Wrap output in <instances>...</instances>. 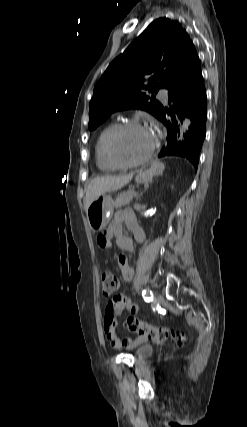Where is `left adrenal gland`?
Returning <instances> with one entry per match:
<instances>
[{"label":"left adrenal gland","instance_id":"1","mask_svg":"<svg viewBox=\"0 0 247 427\" xmlns=\"http://www.w3.org/2000/svg\"><path fill=\"white\" fill-rule=\"evenodd\" d=\"M141 196H142V194L139 195V200H141Z\"/></svg>","mask_w":247,"mask_h":427}]
</instances>
